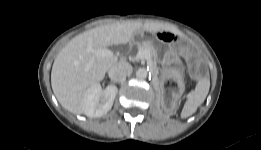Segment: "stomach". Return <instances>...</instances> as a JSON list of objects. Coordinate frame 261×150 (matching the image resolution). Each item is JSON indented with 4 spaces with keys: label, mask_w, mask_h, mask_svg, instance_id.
<instances>
[{
    "label": "stomach",
    "mask_w": 261,
    "mask_h": 150,
    "mask_svg": "<svg viewBox=\"0 0 261 150\" xmlns=\"http://www.w3.org/2000/svg\"><path fill=\"white\" fill-rule=\"evenodd\" d=\"M163 74L165 76H172V77H176L178 79L181 78L179 71L169 65L163 66Z\"/></svg>",
    "instance_id": "obj_1"
}]
</instances>
